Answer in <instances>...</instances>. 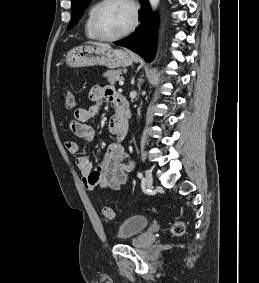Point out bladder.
I'll return each instance as SVG.
<instances>
[{
  "mask_svg": "<svg viewBox=\"0 0 259 283\" xmlns=\"http://www.w3.org/2000/svg\"><path fill=\"white\" fill-rule=\"evenodd\" d=\"M150 224V219L141 216V215H134L126 219L124 222L120 224L117 230V239L118 240H128L143 230H145Z\"/></svg>",
  "mask_w": 259,
  "mask_h": 283,
  "instance_id": "1",
  "label": "bladder"
}]
</instances>
